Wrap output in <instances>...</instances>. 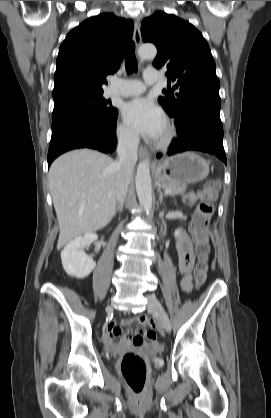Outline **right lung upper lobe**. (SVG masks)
Instances as JSON below:
<instances>
[{
    "label": "right lung upper lobe",
    "mask_w": 271,
    "mask_h": 418,
    "mask_svg": "<svg viewBox=\"0 0 271 418\" xmlns=\"http://www.w3.org/2000/svg\"><path fill=\"white\" fill-rule=\"evenodd\" d=\"M133 22L110 13L99 14L71 30L60 46L54 74V101L101 93L106 76L115 73Z\"/></svg>",
    "instance_id": "obj_1"
}]
</instances>
